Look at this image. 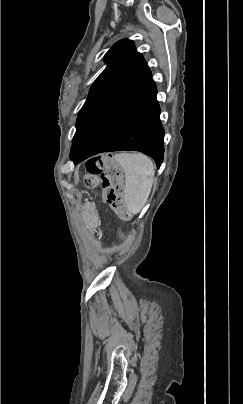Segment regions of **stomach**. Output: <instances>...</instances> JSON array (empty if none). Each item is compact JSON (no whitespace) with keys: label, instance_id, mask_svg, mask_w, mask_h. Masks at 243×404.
<instances>
[{"label":"stomach","instance_id":"stomach-1","mask_svg":"<svg viewBox=\"0 0 243 404\" xmlns=\"http://www.w3.org/2000/svg\"><path fill=\"white\" fill-rule=\"evenodd\" d=\"M85 211H84V215L86 217V223L88 226L95 228L98 224V214L96 213V211L94 210L93 207H91L89 204H87L84 207Z\"/></svg>","mask_w":243,"mask_h":404}]
</instances>
